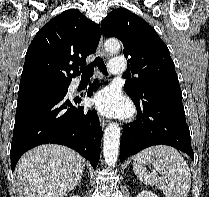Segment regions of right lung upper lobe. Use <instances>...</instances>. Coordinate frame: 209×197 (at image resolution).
Wrapping results in <instances>:
<instances>
[{
  "label": "right lung upper lobe",
  "mask_w": 209,
  "mask_h": 197,
  "mask_svg": "<svg viewBox=\"0 0 209 197\" xmlns=\"http://www.w3.org/2000/svg\"><path fill=\"white\" fill-rule=\"evenodd\" d=\"M100 37V26L79 10L62 12L42 27L31 42L19 89L69 84L80 74L76 66L86 65V57L96 51Z\"/></svg>",
  "instance_id": "right-lung-upper-lobe-1"
}]
</instances>
